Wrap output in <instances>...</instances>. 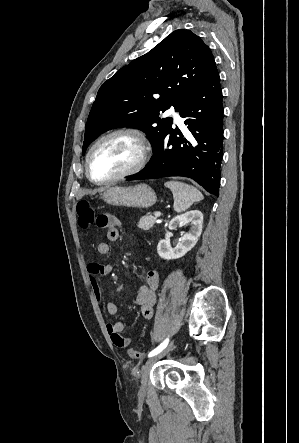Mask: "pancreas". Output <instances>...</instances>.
Returning <instances> with one entry per match:
<instances>
[{
    "label": "pancreas",
    "instance_id": "pancreas-1",
    "mask_svg": "<svg viewBox=\"0 0 299 443\" xmlns=\"http://www.w3.org/2000/svg\"><path fill=\"white\" fill-rule=\"evenodd\" d=\"M155 222H156V218L150 214H147V215L140 218V221L138 223V227L141 229H144V230H149L154 226Z\"/></svg>",
    "mask_w": 299,
    "mask_h": 443
}]
</instances>
